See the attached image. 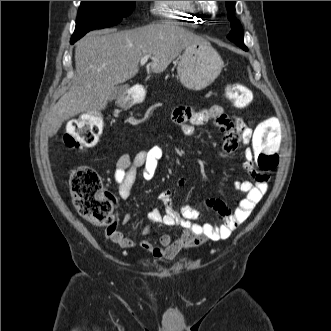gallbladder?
<instances>
[{
  "instance_id": "obj_1",
  "label": "gallbladder",
  "mask_w": 331,
  "mask_h": 331,
  "mask_svg": "<svg viewBox=\"0 0 331 331\" xmlns=\"http://www.w3.org/2000/svg\"><path fill=\"white\" fill-rule=\"evenodd\" d=\"M126 92V86L124 85H116L113 89H112V93L110 95V99L109 100H115V99H120L125 95Z\"/></svg>"
}]
</instances>
